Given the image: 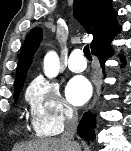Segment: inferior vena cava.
Returning a JSON list of instances; mask_svg holds the SVG:
<instances>
[{
	"mask_svg": "<svg viewBox=\"0 0 131 151\" xmlns=\"http://www.w3.org/2000/svg\"><path fill=\"white\" fill-rule=\"evenodd\" d=\"M77 122H78L77 114H74L72 109H68V111L66 112L65 132L61 136L62 140L65 141L73 140L77 128ZM73 143L76 145V151H80L79 145L76 142Z\"/></svg>",
	"mask_w": 131,
	"mask_h": 151,
	"instance_id": "602c4592",
	"label": "inferior vena cava"
}]
</instances>
